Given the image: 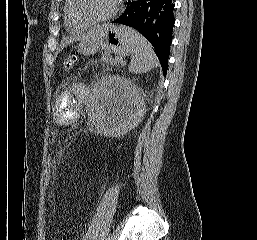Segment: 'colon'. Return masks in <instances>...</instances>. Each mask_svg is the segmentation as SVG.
<instances>
[{
    "mask_svg": "<svg viewBox=\"0 0 257 240\" xmlns=\"http://www.w3.org/2000/svg\"><path fill=\"white\" fill-rule=\"evenodd\" d=\"M77 63V57L75 55H68L63 60V70L70 72ZM55 171L54 157L51 153L48 154L47 162L44 170V179L46 187H49Z\"/></svg>",
    "mask_w": 257,
    "mask_h": 240,
    "instance_id": "colon-1",
    "label": "colon"
}]
</instances>
